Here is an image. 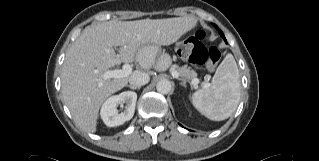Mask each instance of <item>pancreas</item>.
<instances>
[{
    "label": "pancreas",
    "mask_w": 319,
    "mask_h": 161,
    "mask_svg": "<svg viewBox=\"0 0 319 161\" xmlns=\"http://www.w3.org/2000/svg\"><path fill=\"white\" fill-rule=\"evenodd\" d=\"M176 71L184 80L195 79L197 76L196 72L192 70L190 67H188L187 65H184L182 67L176 66Z\"/></svg>",
    "instance_id": "cf45deb5"
}]
</instances>
